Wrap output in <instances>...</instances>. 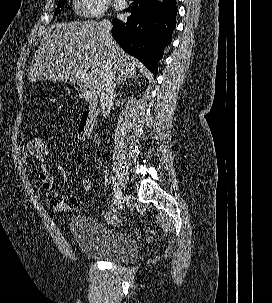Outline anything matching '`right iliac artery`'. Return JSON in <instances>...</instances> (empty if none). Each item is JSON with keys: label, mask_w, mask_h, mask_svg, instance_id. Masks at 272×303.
Returning <instances> with one entry per match:
<instances>
[{"label": "right iliac artery", "mask_w": 272, "mask_h": 303, "mask_svg": "<svg viewBox=\"0 0 272 303\" xmlns=\"http://www.w3.org/2000/svg\"><path fill=\"white\" fill-rule=\"evenodd\" d=\"M112 199H113V202H114L115 204H117L118 197H117L115 194H113Z\"/></svg>", "instance_id": "82829eb1"}]
</instances>
